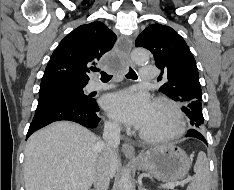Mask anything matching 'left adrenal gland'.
<instances>
[{"label": "left adrenal gland", "instance_id": "a2214340", "mask_svg": "<svg viewBox=\"0 0 234 190\" xmlns=\"http://www.w3.org/2000/svg\"><path fill=\"white\" fill-rule=\"evenodd\" d=\"M138 190H146V189L142 186H138Z\"/></svg>", "mask_w": 234, "mask_h": 190}]
</instances>
